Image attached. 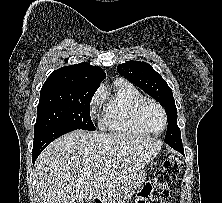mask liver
I'll use <instances>...</instances> for the list:
<instances>
[{
	"instance_id": "liver-1",
	"label": "liver",
	"mask_w": 222,
	"mask_h": 203,
	"mask_svg": "<svg viewBox=\"0 0 222 203\" xmlns=\"http://www.w3.org/2000/svg\"><path fill=\"white\" fill-rule=\"evenodd\" d=\"M157 139L74 130L48 145L35 162L39 203L117 197L161 150Z\"/></svg>"
}]
</instances>
